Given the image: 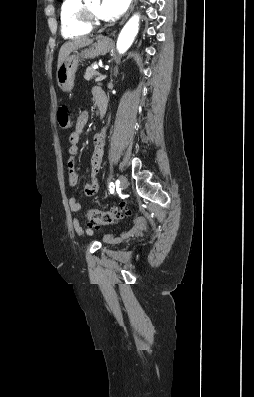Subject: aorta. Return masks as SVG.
<instances>
[{"label":"aorta","mask_w":254,"mask_h":397,"mask_svg":"<svg viewBox=\"0 0 254 397\" xmlns=\"http://www.w3.org/2000/svg\"><path fill=\"white\" fill-rule=\"evenodd\" d=\"M138 26H139L138 15H134L125 24L117 40V49L119 53H124L131 46V44L134 41V38L138 33Z\"/></svg>","instance_id":"aorta-1"}]
</instances>
